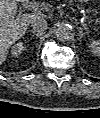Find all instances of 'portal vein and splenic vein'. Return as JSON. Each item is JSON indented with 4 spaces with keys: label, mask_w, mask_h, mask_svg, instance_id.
I'll use <instances>...</instances> for the list:
<instances>
[{
    "label": "portal vein and splenic vein",
    "mask_w": 100,
    "mask_h": 118,
    "mask_svg": "<svg viewBox=\"0 0 100 118\" xmlns=\"http://www.w3.org/2000/svg\"><path fill=\"white\" fill-rule=\"evenodd\" d=\"M29 10L33 11V12H39L40 6L38 3H29L26 6Z\"/></svg>",
    "instance_id": "18ae733b"
}]
</instances>
